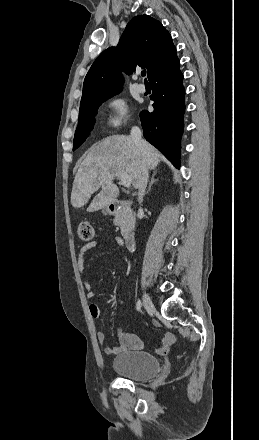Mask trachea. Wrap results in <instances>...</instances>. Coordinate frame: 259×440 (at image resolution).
Masks as SVG:
<instances>
[{
    "instance_id": "1",
    "label": "trachea",
    "mask_w": 259,
    "mask_h": 440,
    "mask_svg": "<svg viewBox=\"0 0 259 440\" xmlns=\"http://www.w3.org/2000/svg\"><path fill=\"white\" fill-rule=\"evenodd\" d=\"M141 75H142V76H145V75H146V71L143 70V71L141 72ZM145 81H146V79H145Z\"/></svg>"
}]
</instances>
